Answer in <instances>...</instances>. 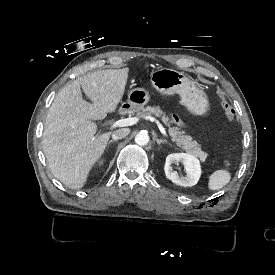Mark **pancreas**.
<instances>
[{"label": "pancreas", "instance_id": "pancreas-1", "mask_svg": "<svg viewBox=\"0 0 275 275\" xmlns=\"http://www.w3.org/2000/svg\"><path fill=\"white\" fill-rule=\"evenodd\" d=\"M120 113L124 114L123 112ZM136 115L139 118H145L151 115L161 117L163 123L168 127L169 135L176 142L178 147L185 150L188 154L198 157L201 161H205L207 158L208 154L201 150V146L197 141L193 140L191 136L185 135V131H181L180 128L171 126L173 120H170L169 117L166 116L160 106H147L143 108L142 111H138Z\"/></svg>", "mask_w": 275, "mask_h": 275}]
</instances>
